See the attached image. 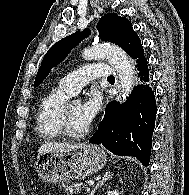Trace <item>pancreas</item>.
I'll return each instance as SVG.
<instances>
[{"mask_svg":"<svg viewBox=\"0 0 189 195\" xmlns=\"http://www.w3.org/2000/svg\"><path fill=\"white\" fill-rule=\"evenodd\" d=\"M64 189L66 190V192H79V190H81V188H84V183H72V184H66L63 185Z\"/></svg>","mask_w":189,"mask_h":195,"instance_id":"obj_1","label":"pancreas"}]
</instances>
